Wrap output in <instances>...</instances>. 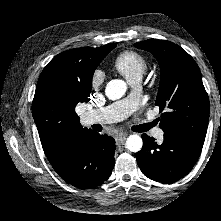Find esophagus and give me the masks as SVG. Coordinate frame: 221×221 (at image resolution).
<instances>
[{"label": "esophagus", "instance_id": "1", "mask_svg": "<svg viewBox=\"0 0 221 221\" xmlns=\"http://www.w3.org/2000/svg\"><path fill=\"white\" fill-rule=\"evenodd\" d=\"M126 137H127V134L126 133H119L117 136H116V143L118 145H121V144H124L125 140H126Z\"/></svg>", "mask_w": 221, "mask_h": 221}]
</instances>
